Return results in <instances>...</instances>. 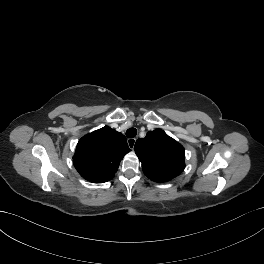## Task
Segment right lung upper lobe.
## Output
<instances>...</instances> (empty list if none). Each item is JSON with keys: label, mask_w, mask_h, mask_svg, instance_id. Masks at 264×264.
Returning a JSON list of instances; mask_svg holds the SVG:
<instances>
[{"label": "right lung upper lobe", "mask_w": 264, "mask_h": 264, "mask_svg": "<svg viewBox=\"0 0 264 264\" xmlns=\"http://www.w3.org/2000/svg\"><path fill=\"white\" fill-rule=\"evenodd\" d=\"M129 151L126 137L105 126L79 140L73 163L83 178L103 183L114 177L120 161Z\"/></svg>", "instance_id": "cb5924a9"}]
</instances>
